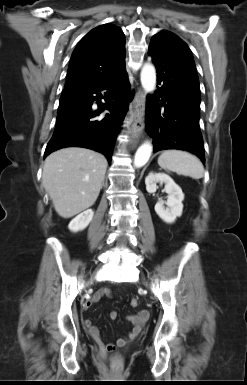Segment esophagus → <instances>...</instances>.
<instances>
[{
    "label": "esophagus",
    "instance_id": "obj_1",
    "mask_svg": "<svg viewBox=\"0 0 247 385\" xmlns=\"http://www.w3.org/2000/svg\"><path fill=\"white\" fill-rule=\"evenodd\" d=\"M132 124L130 128L134 144L137 143L144 129L145 93L139 89L133 101Z\"/></svg>",
    "mask_w": 247,
    "mask_h": 385
}]
</instances>
